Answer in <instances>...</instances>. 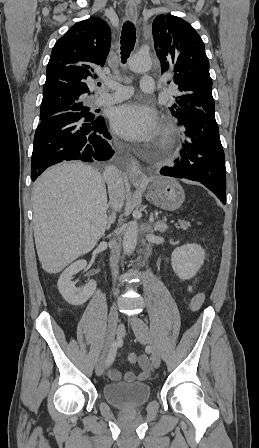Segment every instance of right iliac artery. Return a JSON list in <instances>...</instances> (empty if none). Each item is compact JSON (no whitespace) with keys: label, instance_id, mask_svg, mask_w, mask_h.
Masks as SVG:
<instances>
[{"label":"right iliac artery","instance_id":"obj_1","mask_svg":"<svg viewBox=\"0 0 259 448\" xmlns=\"http://www.w3.org/2000/svg\"><path fill=\"white\" fill-rule=\"evenodd\" d=\"M116 353H117V343L113 342L110 347L107 359L105 361L106 367H110L112 365V363L114 362V359L116 357Z\"/></svg>","mask_w":259,"mask_h":448}]
</instances>
